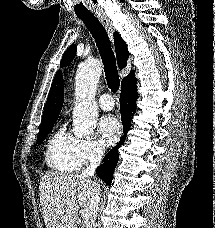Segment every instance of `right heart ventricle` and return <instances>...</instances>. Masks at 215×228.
<instances>
[{"instance_id": "obj_1", "label": "right heart ventricle", "mask_w": 215, "mask_h": 228, "mask_svg": "<svg viewBox=\"0 0 215 228\" xmlns=\"http://www.w3.org/2000/svg\"><path fill=\"white\" fill-rule=\"evenodd\" d=\"M80 139L60 126L50 136L46 144L45 161L47 166L58 173L74 172L81 166L79 156Z\"/></svg>"}]
</instances>
